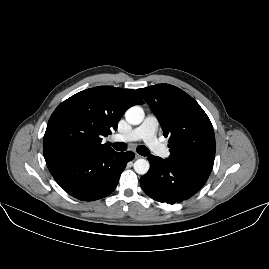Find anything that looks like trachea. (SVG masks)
I'll return each instance as SVG.
<instances>
[{
  "label": "trachea",
  "instance_id": "3493384b",
  "mask_svg": "<svg viewBox=\"0 0 269 269\" xmlns=\"http://www.w3.org/2000/svg\"><path fill=\"white\" fill-rule=\"evenodd\" d=\"M111 145L114 147L115 150H118V151H125L127 149V146L125 143L116 142ZM137 152L142 156H148L150 154V151L144 145L138 146Z\"/></svg>",
  "mask_w": 269,
  "mask_h": 269
}]
</instances>
